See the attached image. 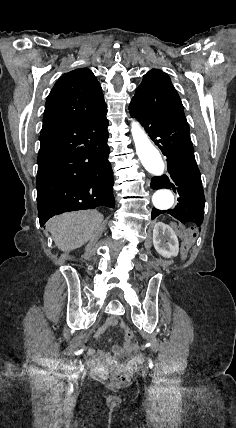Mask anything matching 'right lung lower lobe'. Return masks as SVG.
Wrapping results in <instances>:
<instances>
[{
  "instance_id": "obj_1",
  "label": "right lung lower lobe",
  "mask_w": 236,
  "mask_h": 428,
  "mask_svg": "<svg viewBox=\"0 0 236 428\" xmlns=\"http://www.w3.org/2000/svg\"><path fill=\"white\" fill-rule=\"evenodd\" d=\"M106 113L41 131L36 180L41 226L64 212L115 207Z\"/></svg>"
}]
</instances>
